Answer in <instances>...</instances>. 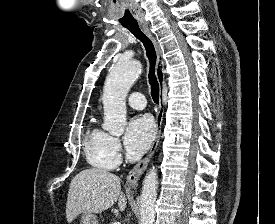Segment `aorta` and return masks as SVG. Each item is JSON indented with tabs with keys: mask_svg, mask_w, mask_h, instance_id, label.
I'll return each mask as SVG.
<instances>
[{
	"mask_svg": "<svg viewBox=\"0 0 275 224\" xmlns=\"http://www.w3.org/2000/svg\"><path fill=\"white\" fill-rule=\"evenodd\" d=\"M142 70L136 60H120L108 74L103 90L104 125L113 135L123 133L126 125V96ZM158 175L151 169L145 176L140 197V223L153 224L157 198Z\"/></svg>",
	"mask_w": 275,
	"mask_h": 224,
	"instance_id": "aorta-1",
	"label": "aorta"
}]
</instances>
